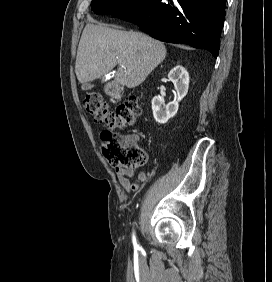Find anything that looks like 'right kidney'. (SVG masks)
<instances>
[{
    "label": "right kidney",
    "instance_id": "obj_1",
    "mask_svg": "<svg viewBox=\"0 0 272 282\" xmlns=\"http://www.w3.org/2000/svg\"><path fill=\"white\" fill-rule=\"evenodd\" d=\"M169 80L174 84L177 92V101L165 104L164 99L155 96L152 99L153 116L157 123L165 124L174 117L179 108V102L186 96L189 87V74L186 69L178 65L168 74Z\"/></svg>",
    "mask_w": 272,
    "mask_h": 282
}]
</instances>
